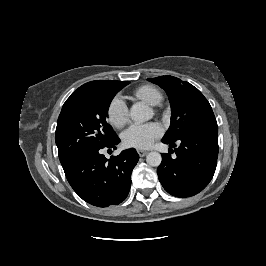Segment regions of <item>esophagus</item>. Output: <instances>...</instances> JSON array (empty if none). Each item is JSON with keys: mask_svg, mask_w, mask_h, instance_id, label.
Returning a JSON list of instances; mask_svg holds the SVG:
<instances>
[{"mask_svg": "<svg viewBox=\"0 0 266 266\" xmlns=\"http://www.w3.org/2000/svg\"><path fill=\"white\" fill-rule=\"evenodd\" d=\"M137 153L140 157H144L148 152L145 150H137Z\"/></svg>", "mask_w": 266, "mask_h": 266, "instance_id": "obj_1", "label": "esophagus"}]
</instances>
